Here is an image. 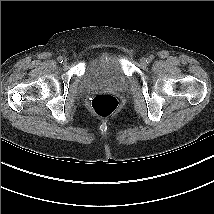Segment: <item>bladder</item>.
<instances>
[{"instance_id": "obj_1", "label": "bladder", "mask_w": 214, "mask_h": 214, "mask_svg": "<svg viewBox=\"0 0 214 214\" xmlns=\"http://www.w3.org/2000/svg\"><path fill=\"white\" fill-rule=\"evenodd\" d=\"M127 85L122 64L116 54H109L92 60L81 77L79 93H85L97 86H109L122 90Z\"/></svg>"}]
</instances>
